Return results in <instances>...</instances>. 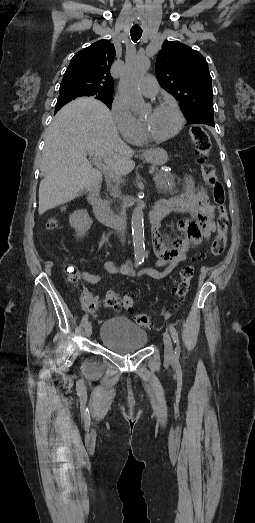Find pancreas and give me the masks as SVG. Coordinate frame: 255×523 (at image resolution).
<instances>
[{
	"label": "pancreas",
	"instance_id": "obj_1",
	"mask_svg": "<svg viewBox=\"0 0 255 523\" xmlns=\"http://www.w3.org/2000/svg\"><path fill=\"white\" fill-rule=\"evenodd\" d=\"M154 180L156 188L159 190V192H164V194H175V182L173 174H170V172H164V170H156ZM107 182H115L114 186L109 184V192H111V196L117 198L119 194V184L122 182L120 176H111L110 180H107Z\"/></svg>",
	"mask_w": 255,
	"mask_h": 523
}]
</instances>
